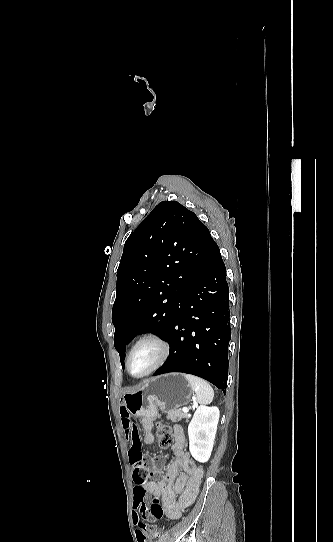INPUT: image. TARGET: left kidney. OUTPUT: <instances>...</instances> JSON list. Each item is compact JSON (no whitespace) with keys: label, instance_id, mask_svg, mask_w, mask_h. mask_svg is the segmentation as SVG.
<instances>
[{"label":"left kidney","instance_id":"5707ae66","mask_svg":"<svg viewBox=\"0 0 333 542\" xmlns=\"http://www.w3.org/2000/svg\"><path fill=\"white\" fill-rule=\"evenodd\" d=\"M219 416L216 406H199L188 426L189 450L197 462L204 464L211 456Z\"/></svg>","mask_w":333,"mask_h":542}]
</instances>
